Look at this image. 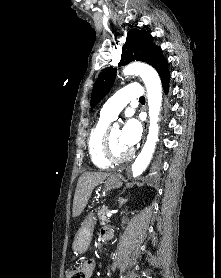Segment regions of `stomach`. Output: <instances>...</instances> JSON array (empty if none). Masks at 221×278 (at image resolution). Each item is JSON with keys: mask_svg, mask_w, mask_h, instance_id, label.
I'll list each match as a JSON object with an SVG mask.
<instances>
[{"mask_svg": "<svg viewBox=\"0 0 221 278\" xmlns=\"http://www.w3.org/2000/svg\"><path fill=\"white\" fill-rule=\"evenodd\" d=\"M104 183L107 190L119 188L122 186V177L118 174H113L107 177ZM94 223L95 217L90 213L75 235L72 243V250L75 253L83 254L87 251L91 242Z\"/></svg>", "mask_w": 221, "mask_h": 278, "instance_id": "obj_1", "label": "stomach"}]
</instances>
